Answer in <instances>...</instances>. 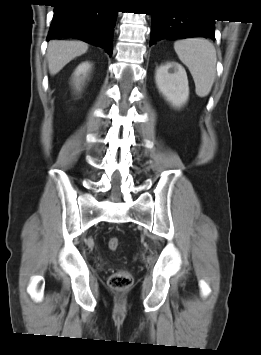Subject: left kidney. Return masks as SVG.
<instances>
[{
    "label": "left kidney",
    "mask_w": 261,
    "mask_h": 355,
    "mask_svg": "<svg viewBox=\"0 0 261 355\" xmlns=\"http://www.w3.org/2000/svg\"><path fill=\"white\" fill-rule=\"evenodd\" d=\"M159 92L173 107L180 108L189 98V86L185 69L176 62L159 66L155 73Z\"/></svg>",
    "instance_id": "obj_1"
}]
</instances>
